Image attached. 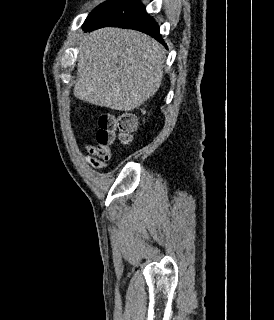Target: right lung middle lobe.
Here are the masks:
<instances>
[{"label": "right lung middle lobe", "mask_w": 274, "mask_h": 320, "mask_svg": "<svg viewBox=\"0 0 274 320\" xmlns=\"http://www.w3.org/2000/svg\"><path fill=\"white\" fill-rule=\"evenodd\" d=\"M124 0H107L106 2L97 6L87 17L83 26L91 24L101 18L102 16L106 15L107 13L111 12L114 8L119 6L123 3Z\"/></svg>", "instance_id": "dd1d6c3e"}]
</instances>
